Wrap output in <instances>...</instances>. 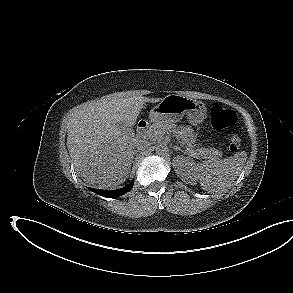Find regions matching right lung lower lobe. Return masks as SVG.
I'll return each mask as SVG.
<instances>
[{"label": "right lung lower lobe", "instance_id": "right-lung-lower-lobe-1", "mask_svg": "<svg viewBox=\"0 0 293 293\" xmlns=\"http://www.w3.org/2000/svg\"><path fill=\"white\" fill-rule=\"evenodd\" d=\"M133 183H134V181H132L129 185H127L123 188L116 189L113 191H106V190H100V189H94V188H90V190H92L93 192H95L98 195H101L103 197L117 198V197L121 196L122 194H124L125 192L130 191L133 187Z\"/></svg>", "mask_w": 293, "mask_h": 293}]
</instances>
